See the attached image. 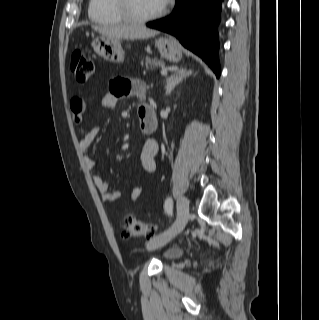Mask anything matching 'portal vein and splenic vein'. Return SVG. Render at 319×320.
I'll return each mask as SVG.
<instances>
[{
    "label": "portal vein and splenic vein",
    "instance_id": "1",
    "mask_svg": "<svg viewBox=\"0 0 319 320\" xmlns=\"http://www.w3.org/2000/svg\"><path fill=\"white\" fill-rule=\"evenodd\" d=\"M168 74V70L166 68L161 69V75L166 76Z\"/></svg>",
    "mask_w": 319,
    "mask_h": 320
}]
</instances>
